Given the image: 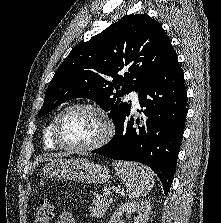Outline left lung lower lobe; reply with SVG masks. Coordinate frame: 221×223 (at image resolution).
Returning a JSON list of instances; mask_svg holds the SVG:
<instances>
[{"label": "left lung lower lobe", "mask_w": 221, "mask_h": 223, "mask_svg": "<svg viewBox=\"0 0 221 223\" xmlns=\"http://www.w3.org/2000/svg\"><path fill=\"white\" fill-rule=\"evenodd\" d=\"M138 98L144 108L141 126H134L129 111L110 142L92 152L149 166L160 178L167 195L188 112L184 76L171 44L161 67L140 89ZM136 123L139 124V118Z\"/></svg>", "instance_id": "left-lung-lower-lobe-1"}]
</instances>
